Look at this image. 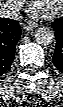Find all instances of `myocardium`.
Returning <instances> with one entry per match:
<instances>
[{
  "mask_svg": "<svg viewBox=\"0 0 63 107\" xmlns=\"http://www.w3.org/2000/svg\"><path fill=\"white\" fill-rule=\"evenodd\" d=\"M39 2L41 3V1H33V5H40L37 4ZM62 7H63V1L61 0L56 8L52 10H47L46 12L49 16H56L62 11Z\"/></svg>",
  "mask_w": 63,
  "mask_h": 107,
  "instance_id": "1",
  "label": "myocardium"
}]
</instances>
